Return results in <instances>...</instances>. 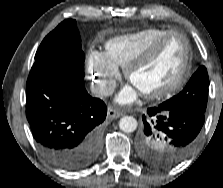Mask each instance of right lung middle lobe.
Returning <instances> with one entry per match:
<instances>
[{
    "label": "right lung middle lobe",
    "instance_id": "obj_1",
    "mask_svg": "<svg viewBox=\"0 0 223 188\" xmlns=\"http://www.w3.org/2000/svg\"><path fill=\"white\" fill-rule=\"evenodd\" d=\"M84 60L76 21L67 19L44 38L32 68L59 66L76 79L83 80Z\"/></svg>",
    "mask_w": 223,
    "mask_h": 188
}]
</instances>
